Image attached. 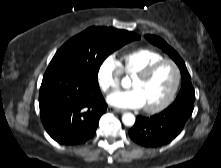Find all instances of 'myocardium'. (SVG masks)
Masks as SVG:
<instances>
[{
  "label": "myocardium",
  "instance_id": "f54148a6",
  "mask_svg": "<svg viewBox=\"0 0 221 168\" xmlns=\"http://www.w3.org/2000/svg\"><path fill=\"white\" fill-rule=\"evenodd\" d=\"M166 63L171 64L175 70L174 85H173L168 97L162 103H160L156 106H153V107H144V110L147 113L161 112L172 104V102L174 101V99L178 93V90H179V87L181 84V79H182L181 69H180L179 65L177 64V62L174 61L173 59L163 58L161 60H158V61L150 64L145 69H143L142 71L137 73L133 78V79H138V80H146L147 78H149L153 74V72L158 67H160L161 65L166 64Z\"/></svg>",
  "mask_w": 221,
  "mask_h": 168
}]
</instances>
